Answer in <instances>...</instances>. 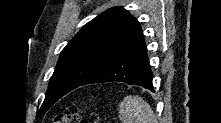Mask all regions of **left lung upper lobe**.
Listing matches in <instances>:
<instances>
[{"label": "left lung upper lobe", "mask_w": 221, "mask_h": 123, "mask_svg": "<svg viewBox=\"0 0 221 123\" xmlns=\"http://www.w3.org/2000/svg\"><path fill=\"white\" fill-rule=\"evenodd\" d=\"M142 39L139 22L122 7L108 9L88 22L62 50L38 116Z\"/></svg>", "instance_id": "left-lung-upper-lobe-1"}]
</instances>
